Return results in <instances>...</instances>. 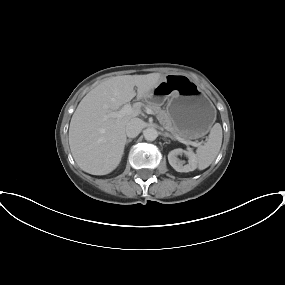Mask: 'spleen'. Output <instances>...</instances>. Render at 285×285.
Segmentation results:
<instances>
[{
    "instance_id": "1",
    "label": "spleen",
    "mask_w": 285,
    "mask_h": 285,
    "mask_svg": "<svg viewBox=\"0 0 285 285\" xmlns=\"http://www.w3.org/2000/svg\"><path fill=\"white\" fill-rule=\"evenodd\" d=\"M222 138V127L216 123L210 130L207 142L196 150L198 169L204 170L212 164L220 151Z\"/></svg>"
}]
</instances>
